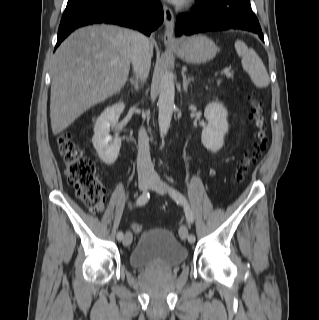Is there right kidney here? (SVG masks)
Wrapping results in <instances>:
<instances>
[{
    "instance_id": "right-kidney-1",
    "label": "right kidney",
    "mask_w": 319,
    "mask_h": 320,
    "mask_svg": "<svg viewBox=\"0 0 319 320\" xmlns=\"http://www.w3.org/2000/svg\"><path fill=\"white\" fill-rule=\"evenodd\" d=\"M124 109L125 105L123 102L107 107L94 125L92 143L101 161L107 165L113 164L119 155L121 139L118 133L115 134L114 139H112L109 133L110 127L117 124Z\"/></svg>"
}]
</instances>
